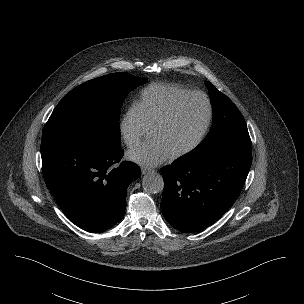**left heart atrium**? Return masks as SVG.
Masks as SVG:
<instances>
[{"label": "left heart atrium", "instance_id": "39dd6f15", "mask_svg": "<svg viewBox=\"0 0 304 304\" xmlns=\"http://www.w3.org/2000/svg\"><path fill=\"white\" fill-rule=\"evenodd\" d=\"M127 157L132 162L152 167L170 159L172 153L161 141L152 139L130 150Z\"/></svg>", "mask_w": 304, "mask_h": 304}]
</instances>
